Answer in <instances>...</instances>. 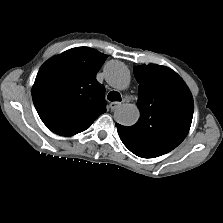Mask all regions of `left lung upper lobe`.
<instances>
[{"label": "left lung upper lobe", "instance_id": "1", "mask_svg": "<svg viewBox=\"0 0 223 223\" xmlns=\"http://www.w3.org/2000/svg\"><path fill=\"white\" fill-rule=\"evenodd\" d=\"M139 83L140 118L133 126L116 124L123 144L134 154L154 158L170 152L187 136L194 103L190 90L172 69L155 64L134 67Z\"/></svg>", "mask_w": 223, "mask_h": 223}]
</instances>
